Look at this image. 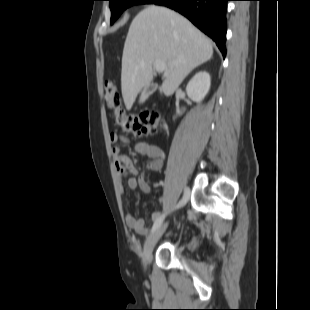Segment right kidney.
<instances>
[{"mask_svg": "<svg viewBox=\"0 0 310 310\" xmlns=\"http://www.w3.org/2000/svg\"><path fill=\"white\" fill-rule=\"evenodd\" d=\"M211 86V78L208 72L199 71L189 81L186 87L188 97L200 103L208 94Z\"/></svg>", "mask_w": 310, "mask_h": 310, "instance_id": "right-kidney-1", "label": "right kidney"}]
</instances>
